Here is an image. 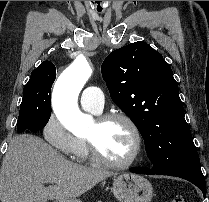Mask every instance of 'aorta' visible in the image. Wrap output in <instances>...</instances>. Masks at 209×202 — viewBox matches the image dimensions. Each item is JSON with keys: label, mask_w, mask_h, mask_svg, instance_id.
<instances>
[{"label": "aorta", "mask_w": 209, "mask_h": 202, "mask_svg": "<svg viewBox=\"0 0 209 202\" xmlns=\"http://www.w3.org/2000/svg\"><path fill=\"white\" fill-rule=\"evenodd\" d=\"M92 75V68L79 55L64 70L53 89V109L61 124L73 134L85 132L92 123L90 115L82 113L77 104L80 91Z\"/></svg>", "instance_id": "aorta-1"}]
</instances>
